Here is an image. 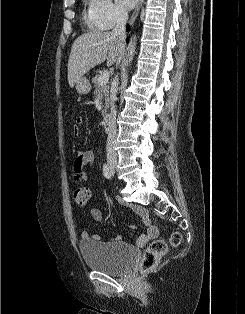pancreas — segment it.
<instances>
[{
  "label": "pancreas",
  "mask_w": 245,
  "mask_h": 314,
  "mask_svg": "<svg viewBox=\"0 0 245 314\" xmlns=\"http://www.w3.org/2000/svg\"><path fill=\"white\" fill-rule=\"evenodd\" d=\"M100 75H95L92 79V83L94 84V93L97 95L98 99L100 101L104 100L105 102V107L102 110V114L106 113V110L109 107V85L104 84V85H99L98 84V78Z\"/></svg>",
  "instance_id": "obj_1"
}]
</instances>
